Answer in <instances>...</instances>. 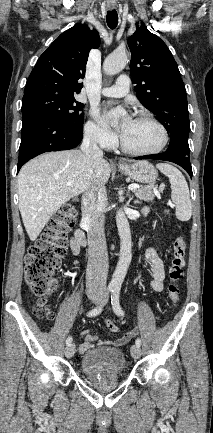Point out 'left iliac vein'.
Wrapping results in <instances>:
<instances>
[{
  "label": "left iliac vein",
  "instance_id": "obj_1",
  "mask_svg": "<svg viewBox=\"0 0 213 433\" xmlns=\"http://www.w3.org/2000/svg\"><path fill=\"white\" fill-rule=\"evenodd\" d=\"M131 355L134 359H138L141 356V348L138 345L131 347Z\"/></svg>",
  "mask_w": 213,
  "mask_h": 433
}]
</instances>
